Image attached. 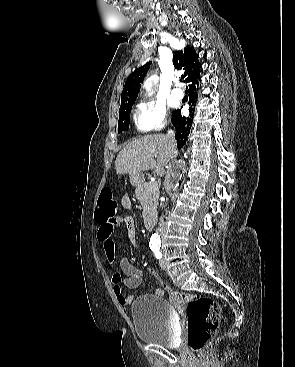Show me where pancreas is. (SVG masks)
Listing matches in <instances>:
<instances>
[{
  "mask_svg": "<svg viewBox=\"0 0 295 367\" xmlns=\"http://www.w3.org/2000/svg\"><path fill=\"white\" fill-rule=\"evenodd\" d=\"M135 195L142 205L143 217L156 211L159 192L157 188L154 187V183L143 182L141 185L137 186Z\"/></svg>",
  "mask_w": 295,
  "mask_h": 367,
  "instance_id": "pancreas-1",
  "label": "pancreas"
}]
</instances>
